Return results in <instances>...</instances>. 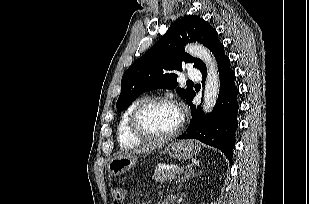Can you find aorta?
Instances as JSON below:
<instances>
[{
    "label": "aorta",
    "mask_w": 309,
    "mask_h": 204,
    "mask_svg": "<svg viewBox=\"0 0 309 204\" xmlns=\"http://www.w3.org/2000/svg\"><path fill=\"white\" fill-rule=\"evenodd\" d=\"M190 55L200 58L207 68V75L204 89L203 111H212L219 95L220 79L216 60L212 53L202 45L189 44L185 48Z\"/></svg>",
    "instance_id": "1"
}]
</instances>
